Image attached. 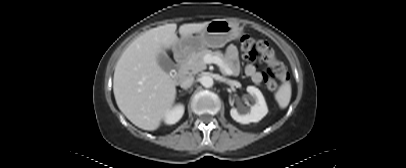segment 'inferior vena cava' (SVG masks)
<instances>
[{
  "label": "inferior vena cava",
  "instance_id": "inferior-vena-cava-1",
  "mask_svg": "<svg viewBox=\"0 0 406 168\" xmlns=\"http://www.w3.org/2000/svg\"><path fill=\"white\" fill-rule=\"evenodd\" d=\"M193 81H194V77H193V76H191V75L185 76V77L181 80L180 86H181V88H183V89H188V88H190V87L192 86Z\"/></svg>",
  "mask_w": 406,
  "mask_h": 168
}]
</instances>
